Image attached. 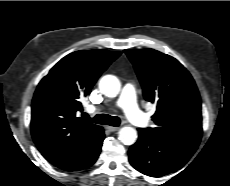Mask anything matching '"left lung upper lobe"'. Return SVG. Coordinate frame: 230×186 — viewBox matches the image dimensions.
I'll return each mask as SVG.
<instances>
[{
	"mask_svg": "<svg viewBox=\"0 0 230 186\" xmlns=\"http://www.w3.org/2000/svg\"><path fill=\"white\" fill-rule=\"evenodd\" d=\"M134 65L144 98L156 103L155 127L141 128L158 137L199 144L201 99L190 73L175 58L153 49L124 50Z\"/></svg>",
	"mask_w": 230,
	"mask_h": 186,
	"instance_id": "1",
	"label": "left lung upper lobe"
}]
</instances>
